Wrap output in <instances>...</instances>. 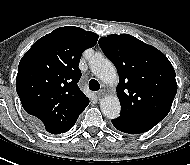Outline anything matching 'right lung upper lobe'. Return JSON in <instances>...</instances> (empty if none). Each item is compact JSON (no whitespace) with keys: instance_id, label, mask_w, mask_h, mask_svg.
Listing matches in <instances>:
<instances>
[{"instance_id":"right-lung-upper-lobe-1","label":"right lung upper lobe","mask_w":190,"mask_h":165,"mask_svg":"<svg viewBox=\"0 0 190 165\" xmlns=\"http://www.w3.org/2000/svg\"><path fill=\"white\" fill-rule=\"evenodd\" d=\"M99 36L79 27L55 29L36 41L22 57L16 90L24 110L47 132L69 131L89 104L79 89L82 52Z\"/></svg>"}]
</instances>
